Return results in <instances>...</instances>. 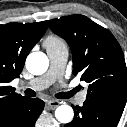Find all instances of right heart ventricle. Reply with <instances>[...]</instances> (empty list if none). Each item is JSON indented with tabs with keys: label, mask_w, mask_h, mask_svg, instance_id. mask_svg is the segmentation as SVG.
<instances>
[{
	"label": "right heart ventricle",
	"mask_w": 127,
	"mask_h": 127,
	"mask_svg": "<svg viewBox=\"0 0 127 127\" xmlns=\"http://www.w3.org/2000/svg\"><path fill=\"white\" fill-rule=\"evenodd\" d=\"M44 46L47 50L65 47L63 40L56 35H48L44 40Z\"/></svg>",
	"instance_id": "e07e8e85"
}]
</instances>
